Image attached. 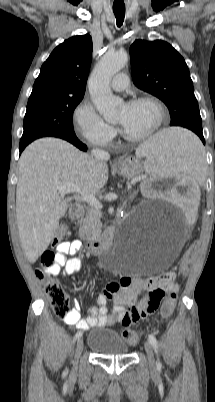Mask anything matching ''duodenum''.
I'll return each instance as SVG.
<instances>
[{
    "label": "duodenum",
    "mask_w": 215,
    "mask_h": 402,
    "mask_svg": "<svg viewBox=\"0 0 215 402\" xmlns=\"http://www.w3.org/2000/svg\"><path fill=\"white\" fill-rule=\"evenodd\" d=\"M83 212L84 210L82 206L75 205L70 211V217L73 220H78L83 216ZM112 241H113V232L109 230L105 233L104 237L89 241L87 242L86 246L93 255L100 256L107 253L110 250L112 246Z\"/></svg>",
    "instance_id": "obj_1"
}]
</instances>
